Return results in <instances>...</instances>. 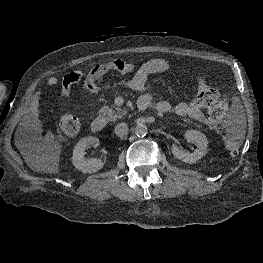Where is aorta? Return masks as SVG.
<instances>
[{
    "instance_id": "aorta-1",
    "label": "aorta",
    "mask_w": 263,
    "mask_h": 263,
    "mask_svg": "<svg viewBox=\"0 0 263 263\" xmlns=\"http://www.w3.org/2000/svg\"><path fill=\"white\" fill-rule=\"evenodd\" d=\"M134 133L138 136V137H144L147 135L148 133V128L146 125L144 124H137L135 129H134Z\"/></svg>"
}]
</instances>
